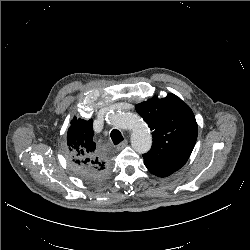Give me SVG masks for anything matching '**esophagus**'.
<instances>
[{"mask_svg": "<svg viewBox=\"0 0 250 250\" xmlns=\"http://www.w3.org/2000/svg\"><path fill=\"white\" fill-rule=\"evenodd\" d=\"M127 143H128V141H127V140H124L123 142H121L120 144L117 145V149H118V150L123 149L124 147L127 146Z\"/></svg>", "mask_w": 250, "mask_h": 250, "instance_id": "esophagus-1", "label": "esophagus"}]
</instances>
